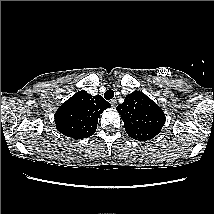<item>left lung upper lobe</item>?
I'll list each match as a JSON object with an SVG mask.
<instances>
[{
  "instance_id": "left-lung-upper-lobe-1",
  "label": "left lung upper lobe",
  "mask_w": 214,
  "mask_h": 214,
  "mask_svg": "<svg viewBox=\"0 0 214 214\" xmlns=\"http://www.w3.org/2000/svg\"><path fill=\"white\" fill-rule=\"evenodd\" d=\"M116 110L123 119L127 134L138 141L154 138L165 124L163 110L140 91L128 94Z\"/></svg>"
}]
</instances>
